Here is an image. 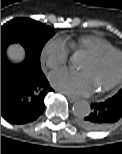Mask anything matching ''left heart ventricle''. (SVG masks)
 <instances>
[{
  "label": "left heart ventricle",
  "instance_id": "b2bd125f",
  "mask_svg": "<svg viewBox=\"0 0 122 154\" xmlns=\"http://www.w3.org/2000/svg\"><path fill=\"white\" fill-rule=\"evenodd\" d=\"M80 69L88 73L93 87L98 90L117 77L120 70V58L113 55L101 63H96L88 57Z\"/></svg>",
  "mask_w": 122,
  "mask_h": 154
}]
</instances>
